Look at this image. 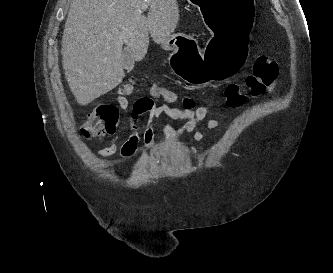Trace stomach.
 I'll return each instance as SVG.
<instances>
[{
  "instance_id": "0dacf381",
  "label": "stomach",
  "mask_w": 333,
  "mask_h": 273,
  "mask_svg": "<svg viewBox=\"0 0 333 273\" xmlns=\"http://www.w3.org/2000/svg\"><path fill=\"white\" fill-rule=\"evenodd\" d=\"M203 17L204 28L212 32L214 39L206 44V53H196L193 38L175 33L161 42L170 54L172 70L184 81L205 85L207 81H231L232 75H240L241 65H247L249 38L257 16H254L255 0H188Z\"/></svg>"
}]
</instances>
